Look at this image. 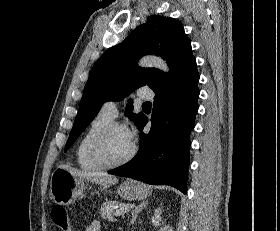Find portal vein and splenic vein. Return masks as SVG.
Masks as SVG:
<instances>
[{"instance_id":"18ae733b","label":"portal vein and splenic vein","mask_w":280,"mask_h":231,"mask_svg":"<svg viewBox=\"0 0 280 231\" xmlns=\"http://www.w3.org/2000/svg\"><path fill=\"white\" fill-rule=\"evenodd\" d=\"M128 207L127 205H125V207H121V209H116V211H114L113 215H121V213H126Z\"/></svg>"}]
</instances>
